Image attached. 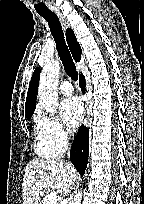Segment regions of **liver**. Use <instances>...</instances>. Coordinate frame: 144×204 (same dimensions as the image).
<instances>
[{"instance_id": "obj_1", "label": "liver", "mask_w": 144, "mask_h": 204, "mask_svg": "<svg viewBox=\"0 0 144 204\" xmlns=\"http://www.w3.org/2000/svg\"><path fill=\"white\" fill-rule=\"evenodd\" d=\"M77 176V170L71 163L32 159L23 176V204H38L40 196L46 192L67 194L73 188Z\"/></svg>"}]
</instances>
